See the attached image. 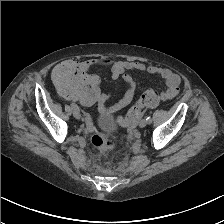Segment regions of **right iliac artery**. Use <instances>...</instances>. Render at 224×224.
Masks as SVG:
<instances>
[{
  "mask_svg": "<svg viewBox=\"0 0 224 224\" xmlns=\"http://www.w3.org/2000/svg\"><path fill=\"white\" fill-rule=\"evenodd\" d=\"M71 108H72L73 110H77V111H79V107H78L76 104H74V103L71 104Z\"/></svg>",
  "mask_w": 224,
  "mask_h": 224,
  "instance_id": "right-iliac-artery-1",
  "label": "right iliac artery"
}]
</instances>
